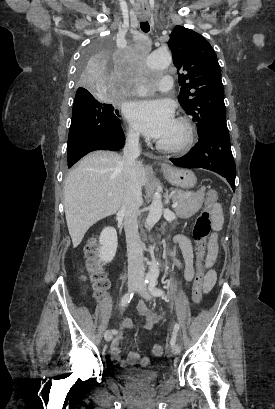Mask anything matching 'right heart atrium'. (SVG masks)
Listing matches in <instances>:
<instances>
[{
    "instance_id": "1",
    "label": "right heart atrium",
    "mask_w": 275,
    "mask_h": 409,
    "mask_svg": "<svg viewBox=\"0 0 275 409\" xmlns=\"http://www.w3.org/2000/svg\"><path fill=\"white\" fill-rule=\"evenodd\" d=\"M127 138L130 141H137L139 138V130L137 129V127L132 124L129 123L128 127H127Z\"/></svg>"
}]
</instances>
